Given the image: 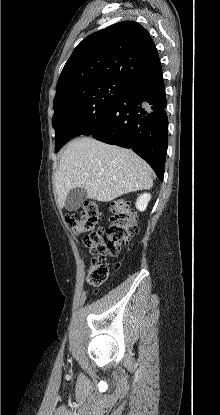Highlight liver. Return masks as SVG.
Returning <instances> with one entry per match:
<instances>
[{
	"instance_id": "obj_1",
	"label": "liver",
	"mask_w": 220,
	"mask_h": 415,
	"mask_svg": "<svg viewBox=\"0 0 220 415\" xmlns=\"http://www.w3.org/2000/svg\"><path fill=\"white\" fill-rule=\"evenodd\" d=\"M152 169L133 151L82 137L72 141L55 175L59 207L70 190L83 188L89 199L109 202L123 194L149 190Z\"/></svg>"
}]
</instances>
